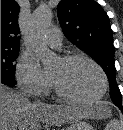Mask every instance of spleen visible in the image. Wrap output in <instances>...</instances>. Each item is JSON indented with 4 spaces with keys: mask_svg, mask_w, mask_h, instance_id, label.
I'll use <instances>...</instances> for the list:
<instances>
[{
    "mask_svg": "<svg viewBox=\"0 0 123 130\" xmlns=\"http://www.w3.org/2000/svg\"><path fill=\"white\" fill-rule=\"evenodd\" d=\"M106 130H121L118 120L116 119L111 120L106 126Z\"/></svg>",
    "mask_w": 123,
    "mask_h": 130,
    "instance_id": "1",
    "label": "spleen"
}]
</instances>
